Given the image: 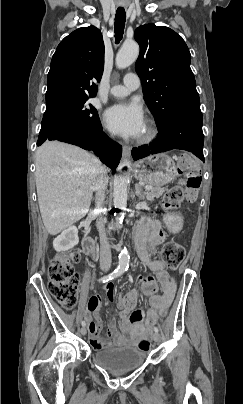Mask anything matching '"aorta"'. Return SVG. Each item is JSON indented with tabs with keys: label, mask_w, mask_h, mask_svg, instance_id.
I'll list each match as a JSON object with an SVG mask.
<instances>
[{
	"label": "aorta",
	"mask_w": 243,
	"mask_h": 404,
	"mask_svg": "<svg viewBox=\"0 0 243 404\" xmlns=\"http://www.w3.org/2000/svg\"><path fill=\"white\" fill-rule=\"evenodd\" d=\"M139 56V46L136 42H124L116 58L115 64L119 70H124L131 66ZM130 181V162L121 161L115 168V178L113 184V202L117 222L126 217V207L128 198V183ZM129 258L127 254H121L119 258L118 272H125L128 266Z\"/></svg>",
	"instance_id": "obj_1"
}]
</instances>
